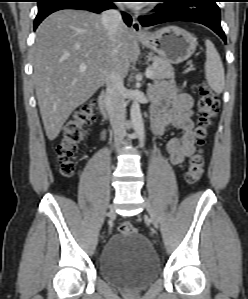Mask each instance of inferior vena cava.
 Masks as SVG:
<instances>
[{"label":"inferior vena cava","mask_w":248,"mask_h":299,"mask_svg":"<svg viewBox=\"0 0 248 299\" xmlns=\"http://www.w3.org/2000/svg\"><path fill=\"white\" fill-rule=\"evenodd\" d=\"M102 24L107 31V35L114 44L116 40L117 28L123 23L122 16L119 10L109 9L102 13ZM106 89V106L110 119V124L114 133L116 148H119L126 135L125 129V88L123 77L118 70L112 69L107 82Z\"/></svg>","instance_id":"inferior-vena-cava-1"}]
</instances>
